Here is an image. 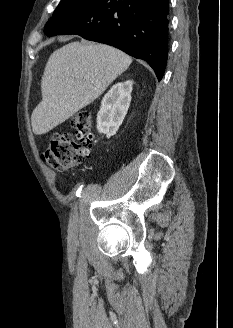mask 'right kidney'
Masks as SVG:
<instances>
[{"label": "right kidney", "instance_id": "obj_1", "mask_svg": "<svg viewBox=\"0 0 233 328\" xmlns=\"http://www.w3.org/2000/svg\"><path fill=\"white\" fill-rule=\"evenodd\" d=\"M133 82L127 80L113 85L101 101L97 114V130L107 138L114 136L122 124L131 102Z\"/></svg>", "mask_w": 233, "mask_h": 328}]
</instances>
